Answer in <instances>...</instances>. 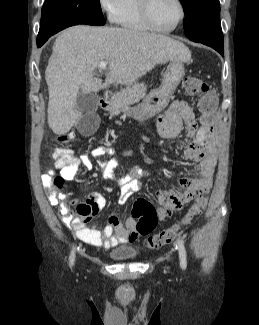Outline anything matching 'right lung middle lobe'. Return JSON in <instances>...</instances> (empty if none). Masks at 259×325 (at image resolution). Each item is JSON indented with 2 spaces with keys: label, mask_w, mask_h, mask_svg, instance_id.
<instances>
[{
  "label": "right lung middle lobe",
  "mask_w": 259,
  "mask_h": 325,
  "mask_svg": "<svg viewBox=\"0 0 259 325\" xmlns=\"http://www.w3.org/2000/svg\"><path fill=\"white\" fill-rule=\"evenodd\" d=\"M105 23L99 0H45L37 41L73 25Z\"/></svg>",
  "instance_id": "right-lung-middle-lobe-1"
}]
</instances>
